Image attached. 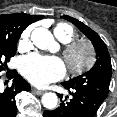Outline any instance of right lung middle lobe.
<instances>
[{
	"mask_svg": "<svg viewBox=\"0 0 117 117\" xmlns=\"http://www.w3.org/2000/svg\"><path fill=\"white\" fill-rule=\"evenodd\" d=\"M21 35L20 31L0 32V72L6 67V62L16 53V45Z\"/></svg>",
	"mask_w": 117,
	"mask_h": 117,
	"instance_id": "obj_1",
	"label": "right lung middle lobe"
}]
</instances>
